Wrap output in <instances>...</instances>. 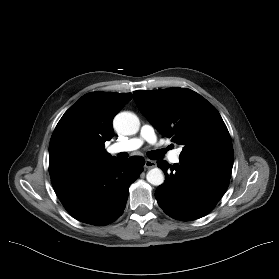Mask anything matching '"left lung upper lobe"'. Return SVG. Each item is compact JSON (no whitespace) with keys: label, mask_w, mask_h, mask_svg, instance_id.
<instances>
[{"label":"left lung upper lobe","mask_w":279,"mask_h":279,"mask_svg":"<svg viewBox=\"0 0 279 279\" xmlns=\"http://www.w3.org/2000/svg\"><path fill=\"white\" fill-rule=\"evenodd\" d=\"M134 100L156 129L182 145L179 157L233 162L228 129L217 109L187 88L135 91Z\"/></svg>","instance_id":"5c2ea615"}]
</instances>
